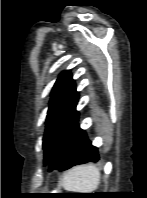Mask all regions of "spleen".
I'll list each match as a JSON object with an SVG mask.
<instances>
[{
  "label": "spleen",
  "instance_id": "spleen-1",
  "mask_svg": "<svg viewBox=\"0 0 147 198\" xmlns=\"http://www.w3.org/2000/svg\"><path fill=\"white\" fill-rule=\"evenodd\" d=\"M100 180L99 169L94 165L76 166L66 172L61 180L62 187L74 193H92Z\"/></svg>",
  "mask_w": 147,
  "mask_h": 198
}]
</instances>
